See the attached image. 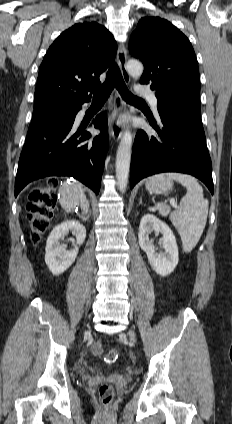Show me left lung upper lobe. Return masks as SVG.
<instances>
[{"instance_id": "5c2ea615", "label": "left lung upper lobe", "mask_w": 232, "mask_h": 424, "mask_svg": "<svg viewBox=\"0 0 232 424\" xmlns=\"http://www.w3.org/2000/svg\"><path fill=\"white\" fill-rule=\"evenodd\" d=\"M130 53L144 64L140 83L152 82L157 99L200 100V77L195 52L187 37L160 17L142 18L131 35Z\"/></svg>"}]
</instances>
